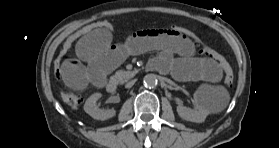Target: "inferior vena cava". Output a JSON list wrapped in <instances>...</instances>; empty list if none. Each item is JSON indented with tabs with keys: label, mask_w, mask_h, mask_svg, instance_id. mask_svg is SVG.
Here are the masks:
<instances>
[{
	"label": "inferior vena cava",
	"mask_w": 279,
	"mask_h": 148,
	"mask_svg": "<svg viewBox=\"0 0 279 148\" xmlns=\"http://www.w3.org/2000/svg\"><path fill=\"white\" fill-rule=\"evenodd\" d=\"M134 83H135V80H132V81L128 82V83L125 85V87H126V88H131V87L134 85Z\"/></svg>",
	"instance_id": "1"
}]
</instances>
